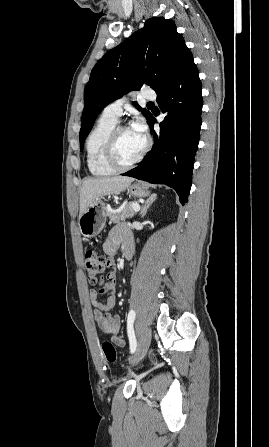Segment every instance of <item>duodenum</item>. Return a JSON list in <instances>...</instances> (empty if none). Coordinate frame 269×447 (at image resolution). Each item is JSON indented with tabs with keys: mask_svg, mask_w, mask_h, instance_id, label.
Here are the masks:
<instances>
[{
	"mask_svg": "<svg viewBox=\"0 0 269 447\" xmlns=\"http://www.w3.org/2000/svg\"><path fill=\"white\" fill-rule=\"evenodd\" d=\"M124 256L127 260H130L132 258V251L131 250L124 251Z\"/></svg>",
	"mask_w": 269,
	"mask_h": 447,
	"instance_id": "duodenum-1",
	"label": "duodenum"
}]
</instances>
